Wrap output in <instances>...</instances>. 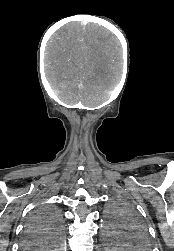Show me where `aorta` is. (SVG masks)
I'll list each match as a JSON object with an SVG mask.
<instances>
[{
  "instance_id": "762f6f07",
  "label": "aorta",
  "mask_w": 174,
  "mask_h": 251,
  "mask_svg": "<svg viewBox=\"0 0 174 251\" xmlns=\"http://www.w3.org/2000/svg\"><path fill=\"white\" fill-rule=\"evenodd\" d=\"M100 233V244L101 250L104 251H117V250H124L123 244L121 242V237L118 232L112 231L109 228V225L106 222H103L101 228L99 230Z\"/></svg>"
}]
</instances>
